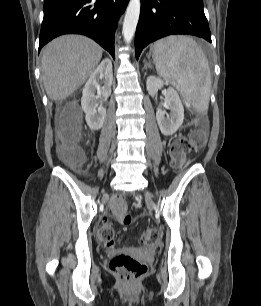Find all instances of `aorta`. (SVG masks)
I'll list each match as a JSON object with an SVG mask.
<instances>
[{
    "mask_svg": "<svg viewBox=\"0 0 261 306\" xmlns=\"http://www.w3.org/2000/svg\"><path fill=\"white\" fill-rule=\"evenodd\" d=\"M140 8V0H130L125 13L122 28V33L126 43H130L135 34L140 15Z\"/></svg>",
    "mask_w": 261,
    "mask_h": 306,
    "instance_id": "aorta-1",
    "label": "aorta"
}]
</instances>
